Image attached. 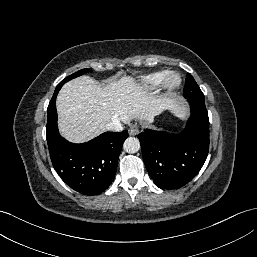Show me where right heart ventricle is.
<instances>
[{
	"mask_svg": "<svg viewBox=\"0 0 257 257\" xmlns=\"http://www.w3.org/2000/svg\"><path fill=\"white\" fill-rule=\"evenodd\" d=\"M167 74V70H161L143 76L140 80V86L145 90H154L162 85Z\"/></svg>",
	"mask_w": 257,
	"mask_h": 257,
	"instance_id": "right-heart-ventricle-1",
	"label": "right heart ventricle"
}]
</instances>
